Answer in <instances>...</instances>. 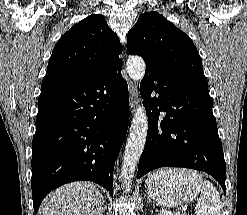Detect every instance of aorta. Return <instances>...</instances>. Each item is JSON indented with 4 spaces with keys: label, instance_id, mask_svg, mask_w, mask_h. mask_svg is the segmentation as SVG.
<instances>
[{
    "label": "aorta",
    "instance_id": "obj_1",
    "mask_svg": "<svg viewBox=\"0 0 247 215\" xmlns=\"http://www.w3.org/2000/svg\"><path fill=\"white\" fill-rule=\"evenodd\" d=\"M146 65L142 57L131 56L127 61V72L131 79L139 83L145 74ZM148 130V118L143 104H139L133 115L130 131L123 156L121 178L123 188L129 191L134 172L143 152Z\"/></svg>",
    "mask_w": 247,
    "mask_h": 215
}]
</instances>
